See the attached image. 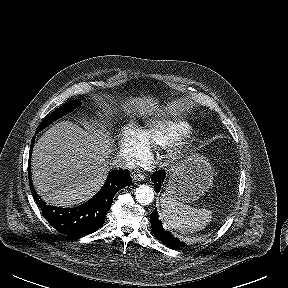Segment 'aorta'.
Returning <instances> with one entry per match:
<instances>
[{
	"label": "aorta",
	"instance_id": "762f6f07",
	"mask_svg": "<svg viewBox=\"0 0 288 288\" xmlns=\"http://www.w3.org/2000/svg\"><path fill=\"white\" fill-rule=\"evenodd\" d=\"M135 198L141 205H149L154 200V191L147 184L139 185L135 189Z\"/></svg>",
	"mask_w": 288,
	"mask_h": 288
}]
</instances>
